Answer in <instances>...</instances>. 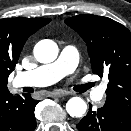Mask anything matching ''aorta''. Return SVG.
<instances>
[{
	"mask_svg": "<svg viewBox=\"0 0 131 131\" xmlns=\"http://www.w3.org/2000/svg\"><path fill=\"white\" fill-rule=\"evenodd\" d=\"M34 56L40 63L53 62L58 56V46L52 40H41L34 48ZM87 105L80 97H73L66 103V111L72 117H82Z\"/></svg>",
	"mask_w": 131,
	"mask_h": 131,
	"instance_id": "aorta-1",
	"label": "aorta"
}]
</instances>
